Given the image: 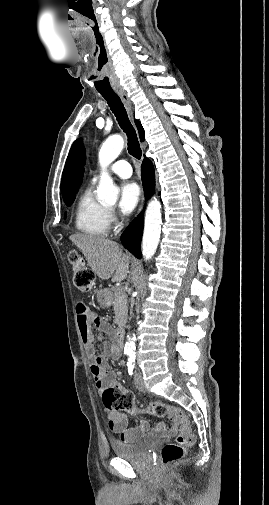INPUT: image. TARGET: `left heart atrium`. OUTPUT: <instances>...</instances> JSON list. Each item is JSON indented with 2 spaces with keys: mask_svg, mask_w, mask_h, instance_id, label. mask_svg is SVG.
Segmentation results:
<instances>
[{
  "mask_svg": "<svg viewBox=\"0 0 269 505\" xmlns=\"http://www.w3.org/2000/svg\"><path fill=\"white\" fill-rule=\"evenodd\" d=\"M141 198V190L137 183L129 181L120 188L119 210L127 215L134 211Z\"/></svg>",
  "mask_w": 269,
  "mask_h": 505,
  "instance_id": "1",
  "label": "left heart atrium"
}]
</instances>
